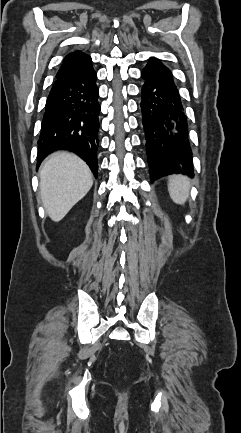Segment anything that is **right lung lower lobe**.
<instances>
[{"label": "right lung lower lobe", "instance_id": "right-lung-lower-lobe-1", "mask_svg": "<svg viewBox=\"0 0 241 433\" xmlns=\"http://www.w3.org/2000/svg\"><path fill=\"white\" fill-rule=\"evenodd\" d=\"M96 79L91 62L55 79L38 140V165L55 150H70L97 176L100 105Z\"/></svg>", "mask_w": 241, "mask_h": 433}]
</instances>
